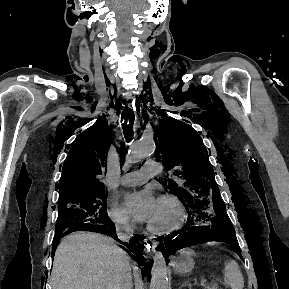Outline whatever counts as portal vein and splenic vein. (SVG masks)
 <instances>
[{
	"mask_svg": "<svg viewBox=\"0 0 289 289\" xmlns=\"http://www.w3.org/2000/svg\"><path fill=\"white\" fill-rule=\"evenodd\" d=\"M206 285H207V279L204 278L200 281V286L205 287Z\"/></svg>",
	"mask_w": 289,
	"mask_h": 289,
	"instance_id": "portal-vein-and-splenic-vein-1",
	"label": "portal vein and splenic vein"
}]
</instances>
